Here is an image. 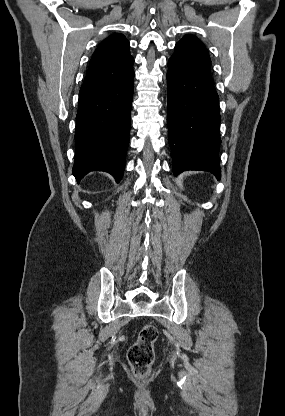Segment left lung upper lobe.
<instances>
[{
	"mask_svg": "<svg viewBox=\"0 0 285 416\" xmlns=\"http://www.w3.org/2000/svg\"><path fill=\"white\" fill-rule=\"evenodd\" d=\"M173 58L211 76V60L204 44L194 36L185 35L175 45Z\"/></svg>",
	"mask_w": 285,
	"mask_h": 416,
	"instance_id": "obj_1",
	"label": "left lung upper lobe"
}]
</instances>
